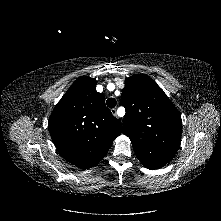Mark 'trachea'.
Listing matches in <instances>:
<instances>
[{
	"instance_id": "3493384b",
	"label": "trachea",
	"mask_w": 221,
	"mask_h": 221,
	"mask_svg": "<svg viewBox=\"0 0 221 221\" xmlns=\"http://www.w3.org/2000/svg\"><path fill=\"white\" fill-rule=\"evenodd\" d=\"M116 100L115 98H108L107 101H106V105L109 107V108H114L116 106Z\"/></svg>"
}]
</instances>
